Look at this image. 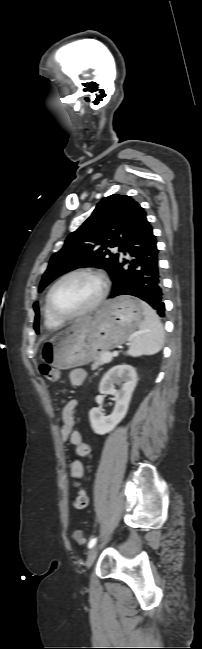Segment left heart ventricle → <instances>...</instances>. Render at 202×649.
<instances>
[{
    "label": "left heart ventricle",
    "instance_id": "1",
    "mask_svg": "<svg viewBox=\"0 0 202 649\" xmlns=\"http://www.w3.org/2000/svg\"><path fill=\"white\" fill-rule=\"evenodd\" d=\"M99 292L100 284L97 279L89 275H74L56 287L52 302L62 314H73L92 304Z\"/></svg>",
    "mask_w": 202,
    "mask_h": 649
}]
</instances>
